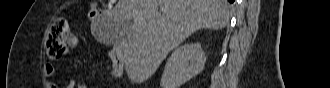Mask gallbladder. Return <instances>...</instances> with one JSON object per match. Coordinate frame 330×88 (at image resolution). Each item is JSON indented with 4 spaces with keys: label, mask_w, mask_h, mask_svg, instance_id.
<instances>
[{
    "label": "gallbladder",
    "mask_w": 330,
    "mask_h": 88,
    "mask_svg": "<svg viewBox=\"0 0 330 88\" xmlns=\"http://www.w3.org/2000/svg\"><path fill=\"white\" fill-rule=\"evenodd\" d=\"M131 25L132 22L130 20H126L124 23H121L120 25L114 21H112L111 23H107L104 28V36L106 38L107 44L118 43L120 34L127 33Z\"/></svg>",
    "instance_id": "1"
}]
</instances>
